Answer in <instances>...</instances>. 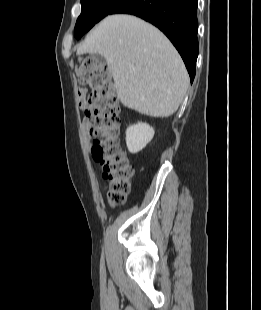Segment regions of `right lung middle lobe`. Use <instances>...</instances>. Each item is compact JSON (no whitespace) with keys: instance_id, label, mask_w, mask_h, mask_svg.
Listing matches in <instances>:
<instances>
[{"instance_id":"dd1d6c3e","label":"right lung middle lobe","mask_w":261,"mask_h":310,"mask_svg":"<svg viewBox=\"0 0 261 310\" xmlns=\"http://www.w3.org/2000/svg\"><path fill=\"white\" fill-rule=\"evenodd\" d=\"M124 0H81L82 11L74 29L76 39L90 30L97 22L111 13Z\"/></svg>"}]
</instances>
